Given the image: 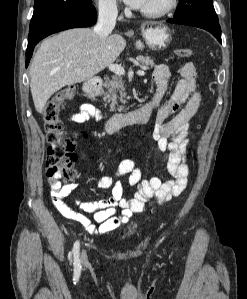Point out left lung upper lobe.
Wrapping results in <instances>:
<instances>
[{
	"instance_id": "5c2ea615",
	"label": "left lung upper lobe",
	"mask_w": 247,
	"mask_h": 299,
	"mask_svg": "<svg viewBox=\"0 0 247 299\" xmlns=\"http://www.w3.org/2000/svg\"><path fill=\"white\" fill-rule=\"evenodd\" d=\"M199 13L218 20L212 0H179L174 18L187 14Z\"/></svg>"
}]
</instances>
